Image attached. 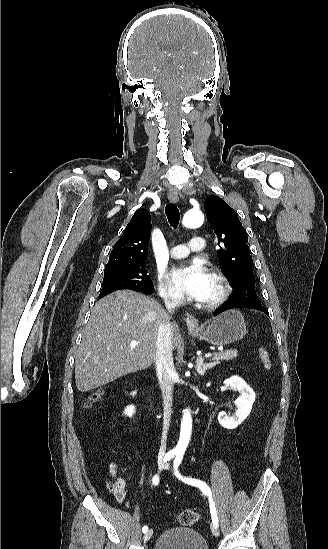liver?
<instances>
[{"label": "liver", "mask_w": 328, "mask_h": 549, "mask_svg": "<svg viewBox=\"0 0 328 549\" xmlns=\"http://www.w3.org/2000/svg\"><path fill=\"white\" fill-rule=\"evenodd\" d=\"M160 303L135 291H116L91 311L75 357V383L86 393L155 363L158 331L168 323ZM176 349L179 327L170 323ZM137 341L136 347H130Z\"/></svg>", "instance_id": "6515ba94"}]
</instances>
